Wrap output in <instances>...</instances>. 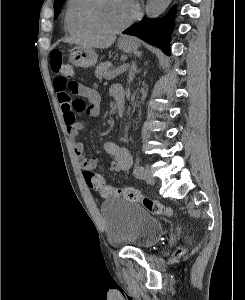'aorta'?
Instances as JSON below:
<instances>
[{
	"label": "aorta",
	"mask_w": 245,
	"mask_h": 300,
	"mask_svg": "<svg viewBox=\"0 0 245 300\" xmlns=\"http://www.w3.org/2000/svg\"><path fill=\"white\" fill-rule=\"evenodd\" d=\"M171 0H148L146 4V15L149 18H157L169 6Z\"/></svg>",
	"instance_id": "obj_1"
}]
</instances>
